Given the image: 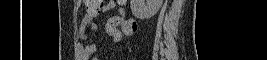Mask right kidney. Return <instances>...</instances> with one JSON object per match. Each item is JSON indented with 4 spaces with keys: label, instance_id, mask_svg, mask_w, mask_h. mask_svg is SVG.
Masks as SVG:
<instances>
[{
    "label": "right kidney",
    "instance_id": "right-kidney-1",
    "mask_svg": "<svg viewBox=\"0 0 267 60\" xmlns=\"http://www.w3.org/2000/svg\"><path fill=\"white\" fill-rule=\"evenodd\" d=\"M163 0H130L132 14L138 19H148L160 9Z\"/></svg>",
    "mask_w": 267,
    "mask_h": 60
}]
</instances>
